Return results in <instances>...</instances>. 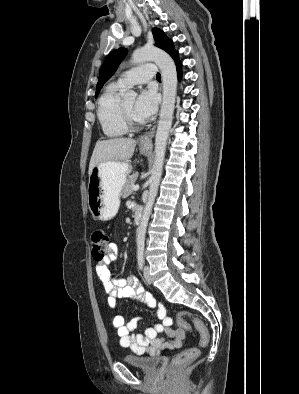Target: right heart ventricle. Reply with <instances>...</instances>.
Returning a JSON list of instances; mask_svg holds the SVG:
<instances>
[{
    "instance_id": "obj_1",
    "label": "right heart ventricle",
    "mask_w": 299,
    "mask_h": 394,
    "mask_svg": "<svg viewBox=\"0 0 299 394\" xmlns=\"http://www.w3.org/2000/svg\"><path fill=\"white\" fill-rule=\"evenodd\" d=\"M123 89L117 82L110 83L98 100L97 117L103 133L110 138L121 137L128 131L120 114Z\"/></svg>"
}]
</instances>
